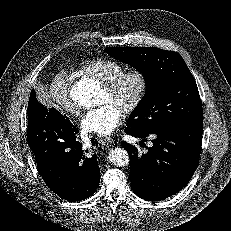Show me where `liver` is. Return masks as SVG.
Segmentation results:
<instances>
[{
	"label": "liver",
	"mask_w": 231,
	"mask_h": 231,
	"mask_svg": "<svg viewBox=\"0 0 231 231\" xmlns=\"http://www.w3.org/2000/svg\"><path fill=\"white\" fill-rule=\"evenodd\" d=\"M36 94L38 101L41 102L44 106L48 108L54 106V103L51 101V96L45 86H38L36 89Z\"/></svg>",
	"instance_id": "1"
}]
</instances>
